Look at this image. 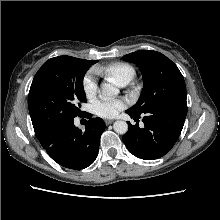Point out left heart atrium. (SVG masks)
<instances>
[{
	"mask_svg": "<svg viewBox=\"0 0 220 220\" xmlns=\"http://www.w3.org/2000/svg\"><path fill=\"white\" fill-rule=\"evenodd\" d=\"M124 107V102L116 99H99L92 105L93 112L103 118L115 117Z\"/></svg>",
	"mask_w": 220,
	"mask_h": 220,
	"instance_id": "left-heart-atrium-1",
	"label": "left heart atrium"
}]
</instances>
